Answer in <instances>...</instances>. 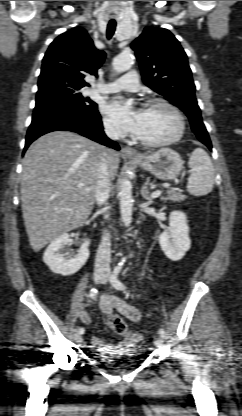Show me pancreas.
<instances>
[{"label": "pancreas", "mask_w": 242, "mask_h": 416, "mask_svg": "<svg viewBox=\"0 0 242 416\" xmlns=\"http://www.w3.org/2000/svg\"><path fill=\"white\" fill-rule=\"evenodd\" d=\"M185 199H186L185 195L181 193H177L175 191H168L167 196L162 198V200L172 201V202H181V201H184Z\"/></svg>", "instance_id": "cf45deb5"}]
</instances>
